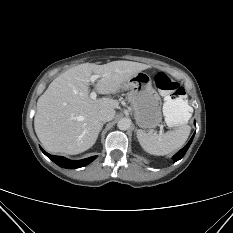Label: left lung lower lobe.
I'll return each mask as SVG.
<instances>
[{"label": "left lung lower lobe", "mask_w": 233, "mask_h": 233, "mask_svg": "<svg viewBox=\"0 0 233 233\" xmlns=\"http://www.w3.org/2000/svg\"><path fill=\"white\" fill-rule=\"evenodd\" d=\"M194 135L192 136V138L190 139V141L187 143V145L184 148H182L177 154L174 155L173 158H174L175 161L180 160L185 155V153L188 150L190 144L192 143Z\"/></svg>", "instance_id": "left-lung-lower-lobe-1"}]
</instances>
